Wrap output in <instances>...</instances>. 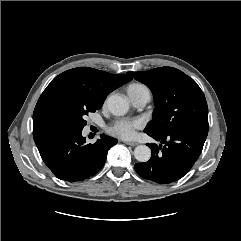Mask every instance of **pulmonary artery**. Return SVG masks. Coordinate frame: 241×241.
Wrapping results in <instances>:
<instances>
[{"instance_id":"1","label":"pulmonary artery","mask_w":241,"mask_h":241,"mask_svg":"<svg viewBox=\"0 0 241 241\" xmlns=\"http://www.w3.org/2000/svg\"><path fill=\"white\" fill-rule=\"evenodd\" d=\"M128 96L132 104L136 107L145 106L151 98L150 91L147 88L128 91Z\"/></svg>"}]
</instances>
